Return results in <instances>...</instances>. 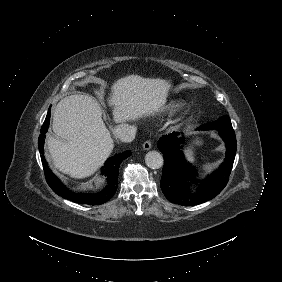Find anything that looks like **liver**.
<instances>
[{"instance_id": "1", "label": "liver", "mask_w": 282, "mask_h": 282, "mask_svg": "<svg viewBox=\"0 0 282 282\" xmlns=\"http://www.w3.org/2000/svg\"><path fill=\"white\" fill-rule=\"evenodd\" d=\"M171 84L164 79L129 75L111 87L108 101L115 123L154 115L167 101ZM100 107L92 98L70 95L56 106L52 128L61 139L49 136L47 146L55 168L73 178L92 175L111 154L114 142Z\"/></svg>"}]
</instances>
